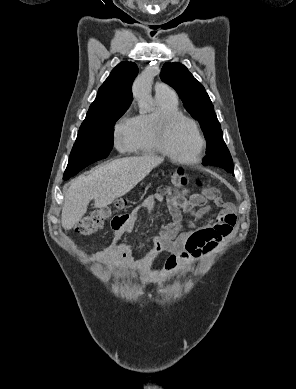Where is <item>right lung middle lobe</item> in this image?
<instances>
[{
  "label": "right lung middle lobe",
  "instance_id": "obj_1",
  "mask_svg": "<svg viewBox=\"0 0 296 389\" xmlns=\"http://www.w3.org/2000/svg\"><path fill=\"white\" fill-rule=\"evenodd\" d=\"M127 108H115L104 114L85 118L78 131L65 173L81 171L109 155L113 146L114 124Z\"/></svg>",
  "mask_w": 296,
  "mask_h": 389
}]
</instances>
